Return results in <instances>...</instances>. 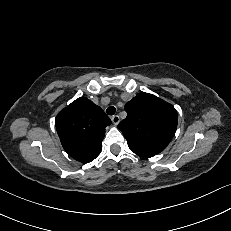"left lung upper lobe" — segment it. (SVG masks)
Returning <instances> with one entry per match:
<instances>
[{
  "label": "left lung upper lobe",
  "mask_w": 231,
  "mask_h": 231,
  "mask_svg": "<svg viewBox=\"0 0 231 231\" xmlns=\"http://www.w3.org/2000/svg\"><path fill=\"white\" fill-rule=\"evenodd\" d=\"M127 117L118 127L131 151L150 158L163 151L177 128V111L164 100L145 92L136 95L125 107Z\"/></svg>",
  "instance_id": "left-lung-upper-lobe-1"
}]
</instances>
